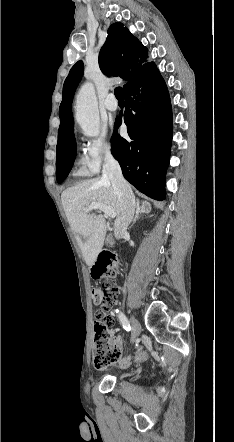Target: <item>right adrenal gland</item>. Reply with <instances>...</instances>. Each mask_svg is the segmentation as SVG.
<instances>
[{
    "mask_svg": "<svg viewBox=\"0 0 234 442\" xmlns=\"http://www.w3.org/2000/svg\"><path fill=\"white\" fill-rule=\"evenodd\" d=\"M149 210H151V206L150 204H148L147 202H142V205L140 206V201L139 199L136 200V211H135V216L133 218V224L136 223V221L139 218V214L141 213H148Z\"/></svg>",
    "mask_w": 234,
    "mask_h": 442,
    "instance_id": "1",
    "label": "right adrenal gland"
}]
</instances>
